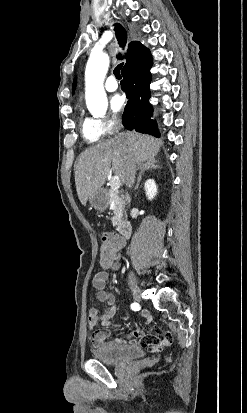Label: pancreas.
Wrapping results in <instances>:
<instances>
[{"mask_svg": "<svg viewBox=\"0 0 247 413\" xmlns=\"http://www.w3.org/2000/svg\"><path fill=\"white\" fill-rule=\"evenodd\" d=\"M108 196H109L110 209H112L114 213V217H112L111 219L112 225L113 227H118L123 217V213L120 209V204H119V192H117V190H112V188H109Z\"/></svg>", "mask_w": 247, "mask_h": 413, "instance_id": "cf45deb5", "label": "pancreas"}]
</instances>
